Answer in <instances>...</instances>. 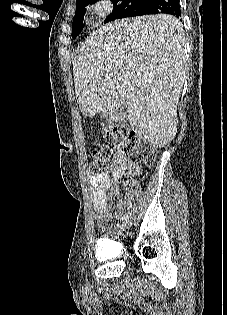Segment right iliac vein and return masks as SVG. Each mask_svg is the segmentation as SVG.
Segmentation results:
<instances>
[{"label": "right iliac vein", "instance_id": "obj_1", "mask_svg": "<svg viewBox=\"0 0 227 315\" xmlns=\"http://www.w3.org/2000/svg\"><path fill=\"white\" fill-rule=\"evenodd\" d=\"M130 225H131L130 220H126V221H124V222L121 224L120 230H121V231H125L126 229H128V228L130 227Z\"/></svg>", "mask_w": 227, "mask_h": 315}]
</instances>
